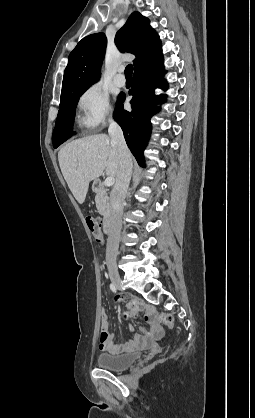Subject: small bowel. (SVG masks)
Masks as SVG:
<instances>
[{"label": "small bowel", "mask_w": 255, "mask_h": 418, "mask_svg": "<svg viewBox=\"0 0 255 418\" xmlns=\"http://www.w3.org/2000/svg\"><path fill=\"white\" fill-rule=\"evenodd\" d=\"M118 304V302H116ZM127 309L121 313L123 319L134 318L140 311H143V317L146 321L151 319L153 309L150 306L143 305L138 300H129L126 305ZM109 322L105 313L101 317V330L99 337V347L102 351L110 354H121L136 348L143 347L151 337H161L163 329L151 334L142 330V334H134L133 338L125 344H115L113 341V334L108 330Z\"/></svg>", "instance_id": "c3829d8e"}]
</instances>
